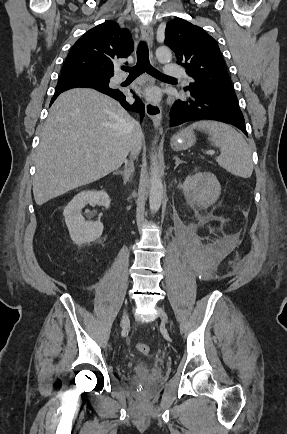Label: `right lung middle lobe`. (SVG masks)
<instances>
[{
	"instance_id": "obj_1",
	"label": "right lung middle lobe",
	"mask_w": 287,
	"mask_h": 434,
	"mask_svg": "<svg viewBox=\"0 0 287 434\" xmlns=\"http://www.w3.org/2000/svg\"><path fill=\"white\" fill-rule=\"evenodd\" d=\"M111 76L93 74L89 72H61L60 81H82L91 85L109 88Z\"/></svg>"
}]
</instances>
